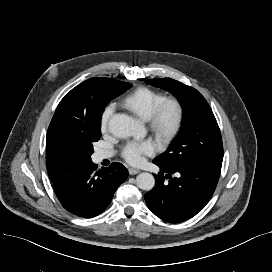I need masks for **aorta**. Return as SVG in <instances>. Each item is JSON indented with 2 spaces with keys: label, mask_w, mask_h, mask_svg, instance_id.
<instances>
[{
  "label": "aorta",
  "mask_w": 272,
  "mask_h": 272,
  "mask_svg": "<svg viewBox=\"0 0 272 272\" xmlns=\"http://www.w3.org/2000/svg\"><path fill=\"white\" fill-rule=\"evenodd\" d=\"M110 132L120 138L130 137L137 133V121L131 116L123 113L113 115L108 123ZM137 186L145 191H150L155 185L154 176L143 172L136 177Z\"/></svg>",
  "instance_id": "obj_1"
}]
</instances>
